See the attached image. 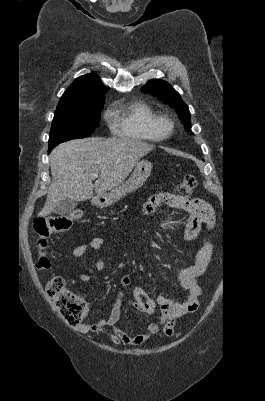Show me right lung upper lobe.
<instances>
[{
    "mask_svg": "<svg viewBox=\"0 0 265 401\" xmlns=\"http://www.w3.org/2000/svg\"><path fill=\"white\" fill-rule=\"evenodd\" d=\"M108 89L97 74H86L72 82L63 93L57 106L77 101L105 98L104 94Z\"/></svg>",
    "mask_w": 265,
    "mask_h": 401,
    "instance_id": "1",
    "label": "right lung upper lobe"
}]
</instances>
